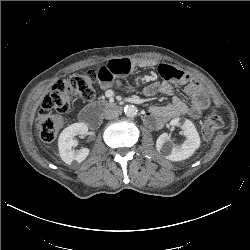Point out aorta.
I'll return each instance as SVG.
<instances>
[{"instance_id": "1", "label": "aorta", "mask_w": 250, "mask_h": 250, "mask_svg": "<svg viewBox=\"0 0 250 250\" xmlns=\"http://www.w3.org/2000/svg\"><path fill=\"white\" fill-rule=\"evenodd\" d=\"M137 112L138 110L134 105H126L124 107V113L127 117H135Z\"/></svg>"}]
</instances>
